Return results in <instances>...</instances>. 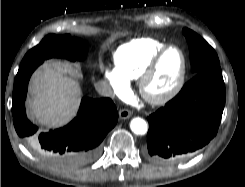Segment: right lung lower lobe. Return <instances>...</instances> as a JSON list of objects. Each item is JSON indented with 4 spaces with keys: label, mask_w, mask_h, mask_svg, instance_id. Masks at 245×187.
Instances as JSON below:
<instances>
[{
    "label": "right lung lower lobe",
    "mask_w": 245,
    "mask_h": 187,
    "mask_svg": "<svg viewBox=\"0 0 245 187\" xmlns=\"http://www.w3.org/2000/svg\"><path fill=\"white\" fill-rule=\"evenodd\" d=\"M43 60L21 63L15 77L12 99L14 127L21 138L44 160L62 166L78 167L93 161L99 154L100 144L116 125L118 112L109 98H83L77 117L67 126L37 132L25 114L28 82L33 71Z\"/></svg>",
    "instance_id": "98d812e1"
}]
</instances>
